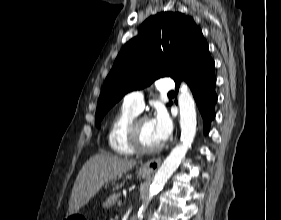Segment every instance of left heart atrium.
Listing matches in <instances>:
<instances>
[{"label":"left heart atrium","mask_w":281,"mask_h":220,"mask_svg":"<svg viewBox=\"0 0 281 220\" xmlns=\"http://www.w3.org/2000/svg\"><path fill=\"white\" fill-rule=\"evenodd\" d=\"M151 122L158 141L161 143L167 140L172 132V123L167 113L159 110Z\"/></svg>","instance_id":"1"}]
</instances>
